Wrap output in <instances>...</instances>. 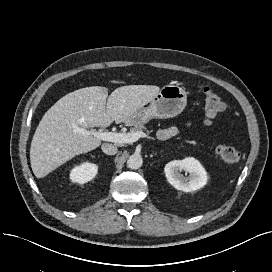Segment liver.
Listing matches in <instances>:
<instances>
[{
    "instance_id": "liver-1",
    "label": "liver",
    "mask_w": 272,
    "mask_h": 272,
    "mask_svg": "<svg viewBox=\"0 0 272 272\" xmlns=\"http://www.w3.org/2000/svg\"><path fill=\"white\" fill-rule=\"evenodd\" d=\"M160 91L153 85H128L115 89L92 86L59 99L41 119L31 142L34 175L43 178L73 157L94 150L101 139L75 132V127H108L126 122Z\"/></svg>"
}]
</instances>
